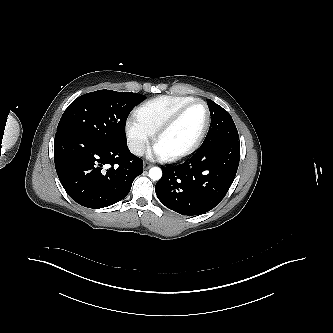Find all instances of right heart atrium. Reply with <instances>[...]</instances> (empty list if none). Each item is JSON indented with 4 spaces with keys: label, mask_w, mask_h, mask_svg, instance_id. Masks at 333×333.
<instances>
[{
    "label": "right heart atrium",
    "mask_w": 333,
    "mask_h": 333,
    "mask_svg": "<svg viewBox=\"0 0 333 333\" xmlns=\"http://www.w3.org/2000/svg\"><path fill=\"white\" fill-rule=\"evenodd\" d=\"M125 134L130 151L135 155H141L148 147L152 134L135 118L126 120Z\"/></svg>",
    "instance_id": "d8ad5b80"
}]
</instances>
